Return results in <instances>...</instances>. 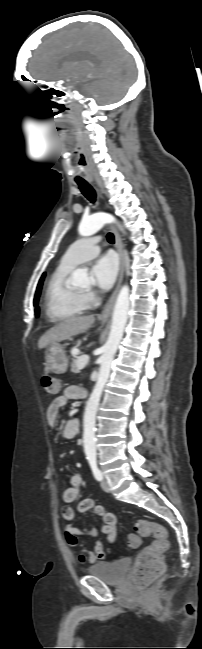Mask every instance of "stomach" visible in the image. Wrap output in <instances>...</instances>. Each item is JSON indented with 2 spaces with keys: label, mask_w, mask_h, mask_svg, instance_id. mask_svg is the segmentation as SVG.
I'll use <instances>...</instances> for the list:
<instances>
[{
  "label": "stomach",
  "mask_w": 202,
  "mask_h": 649,
  "mask_svg": "<svg viewBox=\"0 0 202 649\" xmlns=\"http://www.w3.org/2000/svg\"><path fill=\"white\" fill-rule=\"evenodd\" d=\"M105 320H103L104 322ZM45 364L48 370L55 374L65 373L68 367V360L65 354L64 346L55 343L45 351Z\"/></svg>",
  "instance_id": "stomach-1"
}]
</instances>
